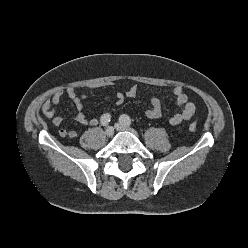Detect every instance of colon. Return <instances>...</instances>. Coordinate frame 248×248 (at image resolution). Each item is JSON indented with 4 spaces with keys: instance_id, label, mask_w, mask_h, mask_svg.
<instances>
[{
    "instance_id": "colon-1",
    "label": "colon",
    "mask_w": 248,
    "mask_h": 248,
    "mask_svg": "<svg viewBox=\"0 0 248 248\" xmlns=\"http://www.w3.org/2000/svg\"><path fill=\"white\" fill-rule=\"evenodd\" d=\"M188 128L190 131L194 132L197 128L196 123H190Z\"/></svg>"
}]
</instances>
